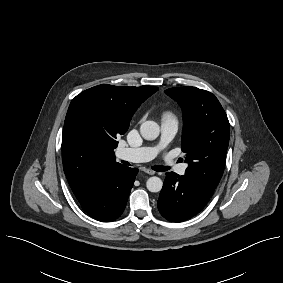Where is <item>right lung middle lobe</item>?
<instances>
[{"mask_svg": "<svg viewBox=\"0 0 283 283\" xmlns=\"http://www.w3.org/2000/svg\"><path fill=\"white\" fill-rule=\"evenodd\" d=\"M66 119L74 131L94 145H117L119 112L115 108L93 105L77 95L70 103Z\"/></svg>", "mask_w": 283, "mask_h": 283, "instance_id": "right-lung-middle-lobe-1", "label": "right lung middle lobe"}]
</instances>
